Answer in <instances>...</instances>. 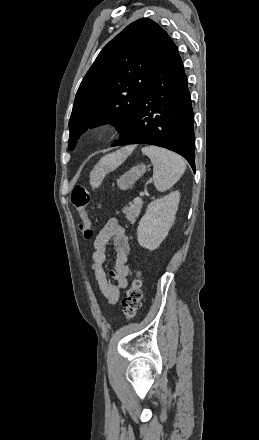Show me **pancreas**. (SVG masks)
Here are the masks:
<instances>
[{"mask_svg":"<svg viewBox=\"0 0 259 440\" xmlns=\"http://www.w3.org/2000/svg\"><path fill=\"white\" fill-rule=\"evenodd\" d=\"M143 202H129L128 205H125L123 207V213L126 215V218L129 221H133L140 213V210L142 208Z\"/></svg>","mask_w":259,"mask_h":440,"instance_id":"1","label":"pancreas"}]
</instances>
